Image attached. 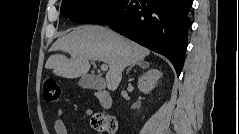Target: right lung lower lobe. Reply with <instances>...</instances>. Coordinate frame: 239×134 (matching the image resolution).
<instances>
[{"instance_id": "98d812e1", "label": "right lung lower lobe", "mask_w": 239, "mask_h": 134, "mask_svg": "<svg viewBox=\"0 0 239 134\" xmlns=\"http://www.w3.org/2000/svg\"><path fill=\"white\" fill-rule=\"evenodd\" d=\"M191 0H120L88 23L106 24L127 38L166 56L180 75L191 26Z\"/></svg>"}]
</instances>
